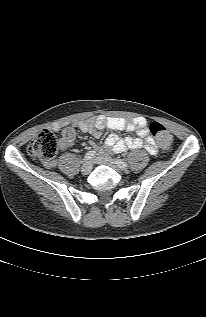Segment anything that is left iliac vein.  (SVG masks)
Returning a JSON list of instances; mask_svg holds the SVG:
<instances>
[{
	"label": "left iliac vein",
	"mask_w": 206,
	"mask_h": 317,
	"mask_svg": "<svg viewBox=\"0 0 206 317\" xmlns=\"http://www.w3.org/2000/svg\"><path fill=\"white\" fill-rule=\"evenodd\" d=\"M95 163L108 165L115 170H120V167L117 165L116 161L108 156H101L95 159Z\"/></svg>",
	"instance_id": "obj_1"
}]
</instances>
